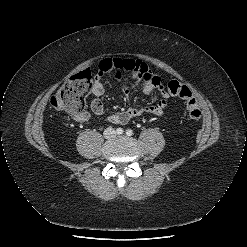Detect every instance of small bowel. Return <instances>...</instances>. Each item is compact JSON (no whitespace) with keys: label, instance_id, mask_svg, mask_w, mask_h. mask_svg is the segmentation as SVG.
Segmentation results:
<instances>
[{"label":"small bowel","instance_id":"c3829d8e","mask_svg":"<svg viewBox=\"0 0 247 247\" xmlns=\"http://www.w3.org/2000/svg\"><path fill=\"white\" fill-rule=\"evenodd\" d=\"M123 71L131 73L133 88H140L145 95H150L154 90H157L160 94V100L152 106H132L112 113L107 116V121L113 124H125L132 118L146 113L157 116L164 114L170 94L167 92L158 74L152 72L146 63L138 59L106 58L99 63L98 73L92 86V92L95 96L91 103L92 113L83 111L78 115H74L73 117L76 121L86 122L91 119L92 114L97 118L102 117L104 108L100 98L105 93V87L101 78L104 74L108 73H114L118 78H121ZM123 90L125 95L128 96L130 90L125 84H123Z\"/></svg>","mask_w":247,"mask_h":247}]
</instances>
